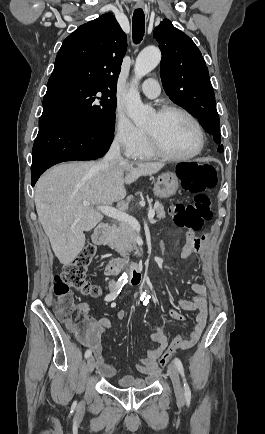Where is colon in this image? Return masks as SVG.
<instances>
[{"label":"colon","instance_id":"5ec220e1","mask_svg":"<svg viewBox=\"0 0 265 434\" xmlns=\"http://www.w3.org/2000/svg\"><path fill=\"white\" fill-rule=\"evenodd\" d=\"M195 158L186 159L185 164H178L179 181H184L185 190L194 194L193 202H175L171 209V218L174 224L189 231L191 234L198 233L204 223L211 219L210 201L207 195L216 185V170L212 165L198 164ZM94 250L83 251L74 261L66 264L62 272L55 277L54 292L57 296L54 306L61 327H76L77 315L68 306L66 300L70 297L71 289L95 298L101 289L99 286L87 280V271ZM186 340V339H185ZM182 339L175 338L171 343V349L167 348L160 361V365L168 362L169 357L177 354L175 349L183 348ZM186 346V345H185Z\"/></svg>","mask_w":265,"mask_h":434}]
</instances>
